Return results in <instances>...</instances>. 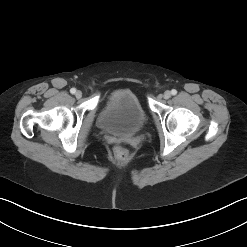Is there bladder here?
I'll list each match as a JSON object with an SVG mask.
<instances>
[{
    "label": "bladder",
    "instance_id": "31cf9c89",
    "mask_svg": "<svg viewBox=\"0 0 247 247\" xmlns=\"http://www.w3.org/2000/svg\"><path fill=\"white\" fill-rule=\"evenodd\" d=\"M147 121L139 96L128 88L108 94L98 115L100 128L115 134H137Z\"/></svg>",
    "mask_w": 247,
    "mask_h": 247
}]
</instances>
